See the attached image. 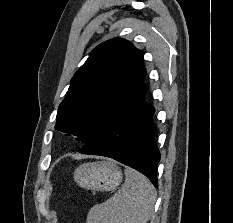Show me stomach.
<instances>
[{
	"instance_id": "stomach-1",
	"label": "stomach",
	"mask_w": 233,
	"mask_h": 223,
	"mask_svg": "<svg viewBox=\"0 0 233 223\" xmlns=\"http://www.w3.org/2000/svg\"><path fill=\"white\" fill-rule=\"evenodd\" d=\"M74 181L80 187L94 189V191H111L120 185L123 173L115 161H95L83 163L74 171Z\"/></svg>"
}]
</instances>
